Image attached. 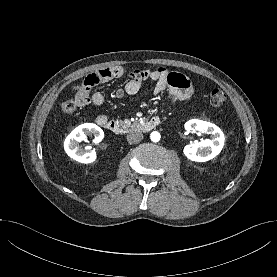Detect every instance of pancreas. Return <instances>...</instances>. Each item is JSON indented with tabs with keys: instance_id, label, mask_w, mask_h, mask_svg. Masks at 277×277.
Wrapping results in <instances>:
<instances>
[{
	"instance_id": "cf45deb5",
	"label": "pancreas",
	"mask_w": 277,
	"mask_h": 277,
	"mask_svg": "<svg viewBox=\"0 0 277 277\" xmlns=\"http://www.w3.org/2000/svg\"><path fill=\"white\" fill-rule=\"evenodd\" d=\"M122 127L127 130V131H134V130H140L143 125L140 124L138 121H135L134 123L131 124L130 121H120Z\"/></svg>"
}]
</instances>
